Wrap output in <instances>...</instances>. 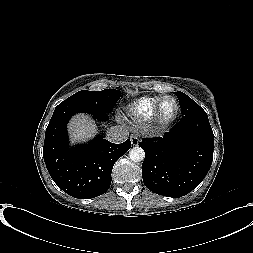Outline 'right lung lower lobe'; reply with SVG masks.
I'll use <instances>...</instances> for the list:
<instances>
[{
    "label": "right lung lower lobe",
    "instance_id": "1",
    "mask_svg": "<svg viewBox=\"0 0 253 253\" xmlns=\"http://www.w3.org/2000/svg\"><path fill=\"white\" fill-rule=\"evenodd\" d=\"M79 112L92 114L98 120L108 119V113L85 106L58 105L46 129L43 157L59 188L75 198L90 199L109 189L113 165L129 150L131 142L127 139L114 144L98 135L88 144L69 148L66 126Z\"/></svg>",
    "mask_w": 253,
    "mask_h": 253
}]
</instances>
